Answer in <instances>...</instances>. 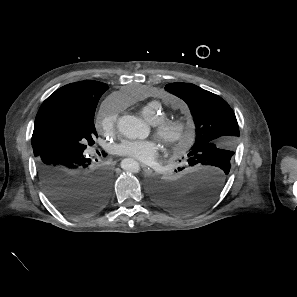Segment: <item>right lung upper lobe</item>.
Wrapping results in <instances>:
<instances>
[{"mask_svg": "<svg viewBox=\"0 0 297 297\" xmlns=\"http://www.w3.org/2000/svg\"><path fill=\"white\" fill-rule=\"evenodd\" d=\"M107 89L108 86L102 82L86 80L65 85L51 94L41 105L35 119L32 135L34 154L37 155L40 152L36 148V140L40 126L53 108L62 103L97 105L100 97Z\"/></svg>", "mask_w": 297, "mask_h": 297, "instance_id": "cb5924a9", "label": "right lung upper lobe"}]
</instances>
